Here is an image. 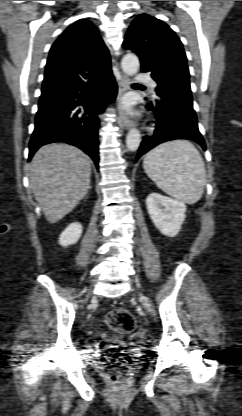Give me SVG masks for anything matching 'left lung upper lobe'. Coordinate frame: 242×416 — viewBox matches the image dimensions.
<instances>
[{"label":"left lung upper lobe","mask_w":242,"mask_h":416,"mask_svg":"<svg viewBox=\"0 0 242 416\" xmlns=\"http://www.w3.org/2000/svg\"><path fill=\"white\" fill-rule=\"evenodd\" d=\"M123 47L139 56L143 72L151 71L158 84L157 95L170 94L192 101L183 44L166 23L147 14L138 15L127 31Z\"/></svg>","instance_id":"1"}]
</instances>
